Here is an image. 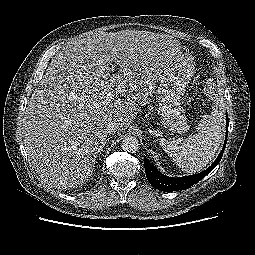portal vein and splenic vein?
Returning <instances> with one entry per match:
<instances>
[{
  "mask_svg": "<svg viewBox=\"0 0 255 255\" xmlns=\"http://www.w3.org/2000/svg\"><path fill=\"white\" fill-rule=\"evenodd\" d=\"M118 93L116 90L111 91L108 95H107V100H111L114 96H116Z\"/></svg>",
  "mask_w": 255,
  "mask_h": 255,
  "instance_id": "18ae733b",
  "label": "portal vein and splenic vein"
}]
</instances>
